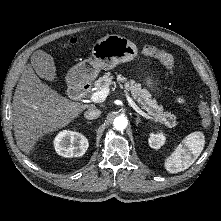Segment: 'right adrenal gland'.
<instances>
[{
	"label": "right adrenal gland",
	"mask_w": 221,
	"mask_h": 221,
	"mask_svg": "<svg viewBox=\"0 0 221 221\" xmlns=\"http://www.w3.org/2000/svg\"><path fill=\"white\" fill-rule=\"evenodd\" d=\"M87 124H92V122H90V121H87Z\"/></svg>",
	"instance_id": "right-adrenal-gland-1"
}]
</instances>
